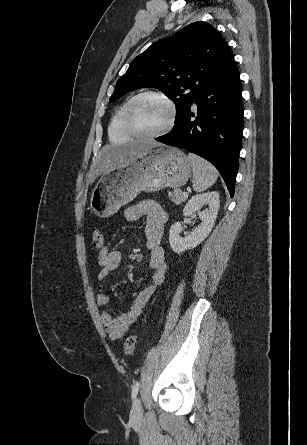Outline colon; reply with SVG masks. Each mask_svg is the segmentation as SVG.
Instances as JSON below:
<instances>
[{"label":"colon","mask_w":307,"mask_h":445,"mask_svg":"<svg viewBox=\"0 0 307 445\" xmlns=\"http://www.w3.org/2000/svg\"><path fill=\"white\" fill-rule=\"evenodd\" d=\"M92 245L96 250H102L104 247V236L101 230L96 229L92 234ZM137 334L128 336L125 340L124 350L126 356L133 355L136 347Z\"/></svg>","instance_id":"5ec220e1"}]
</instances>
